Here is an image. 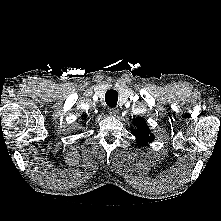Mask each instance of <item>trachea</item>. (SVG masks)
<instances>
[{"instance_id":"obj_1","label":"trachea","mask_w":221,"mask_h":221,"mask_svg":"<svg viewBox=\"0 0 221 221\" xmlns=\"http://www.w3.org/2000/svg\"><path fill=\"white\" fill-rule=\"evenodd\" d=\"M118 101V92L116 90H108L105 94V102L109 107H116Z\"/></svg>"}]
</instances>
